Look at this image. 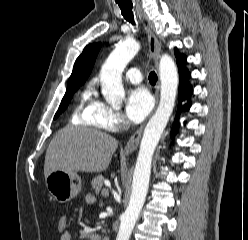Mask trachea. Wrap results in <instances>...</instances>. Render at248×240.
<instances>
[{
  "mask_svg": "<svg viewBox=\"0 0 248 240\" xmlns=\"http://www.w3.org/2000/svg\"><path fill=\"white\" fill-rule=\"evenodd\" d=\"M117 4L119 5L120 9H121V13L123 15V17L130 22L132 25H135V21H134V15H133V4L131 1H120V0H116ZM149 81L150 83H156L157 81V75L154 71H151L149 73Z\"/></svg>",
  "mask_w": 248,
  "mask_h": 240,
  "instance_id": "1",
  "label": "trachea"
}]
</instances>
